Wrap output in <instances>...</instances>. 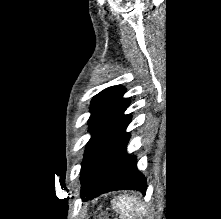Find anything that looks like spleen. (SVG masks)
<instances>
[{"mask_svg": "<svg viewBox=\"0 0 221 219\" xmlns=\"http://www.w3.org/2000/svg\"><path fill=\"white\" fill-rule=\"evenodd\" d=\"M112 206L121 219H142L146 214L145 206L136 196H118L112 200Z\"/></svg>", "mask_w": 221, "mask_h": 219, "instance_id": "spleen-1", "label": "spleen"}]
</instances>
